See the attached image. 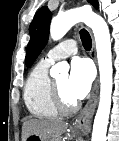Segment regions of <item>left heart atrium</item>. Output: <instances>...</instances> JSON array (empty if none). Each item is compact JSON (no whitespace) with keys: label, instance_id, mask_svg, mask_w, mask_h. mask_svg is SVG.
Segmentation results:
<instances>
[{"label":"left heart atrium","instance_id":"39dd6f15","mask_svg":"<svg viewBox=\"0 0 119 141\" xmlns=\"http://www.w3.org/2000/svg\"><path fill=\"white\" fill-rule=\"evenodd\" d=\"M93 77V68L88 60L82 58L72 60L67 81L68 94L75 101L83 99L91 88Z\"/></svg>","mask_w":119,"mask_h":141}]
</instances>
